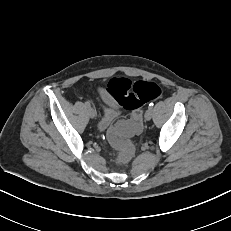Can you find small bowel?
Listing matches in <instances>:
<instances>
[{"label":"small bowel","mask_w":231,"mask_h":231,"mask_svg":"<svg viewBox=\"0 0 231 231\" xmlns=\"http://www.w3.org/2000/svg\"><path fill=\"white\" fill-rule=\"evenodd\" d=\"M100 95H101L103 101L107 105H109V106H111V107H113L115 109H117L119 107L118 104H117V102L109 96V94L107 93L106 90L100 89Z\"/></svg>","instance_id":"1"}]
</instances>
